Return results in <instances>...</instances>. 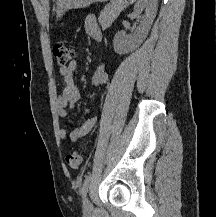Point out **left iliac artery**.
<instances>
[{
	"label": "left iliac artery",
	"mask_w": 216,
	"mask_h": 217,
	"mask_svg": "<svg viewBox=\"0 0 216 217\" xmlns=\"http://www.w3.org/2000/svg\"><path fill=\"white\" fill-rule=\"evenodd\" d=\"M89 181H90V176L89 173L88 175H86L85 180L83 182V186H82V196L86 197V194L88 192V187H89Z\"/></svg>",
	"instance_id": "1"
}]
</instances>
